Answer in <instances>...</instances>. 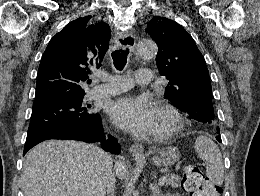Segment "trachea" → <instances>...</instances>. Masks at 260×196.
I'll use <instances>...</instances> for the list:
<instances>
[{
    "label": "trachea",
    "mask_w": 260,
    "mask_h": 196,
    "mask_svg": "<svg viewBox=\"0 0 260 196\" xmlns=\"http://www.w3.org/2000/svg\"><path fill=\"white\" fill-rule=\"evenodd\" d=\"M120 42L122 45L126 44V40H124V39H121ZM128 53H129L128 49H126V50L120 49V50H115L111 54L114 66L117 70L122 71L123 68L125 67V65L127 63Z\"/></svg>",
    "instance_id": "1"
}]
</instances>
